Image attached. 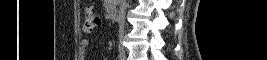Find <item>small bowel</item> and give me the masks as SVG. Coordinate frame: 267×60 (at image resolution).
I'll return each mask as SVG.
<instances>
[{"mask_svg":"<svg viewBox=\"0 0 267 60\" xmlns=\"http://www.w3.org/2000/svg\"><path fill=\"white\" fill-rule=\"evenodd\" d=\"M82 43H83L84 47L86 48L88 46V44H89V41L88 40H83Z\"/></svg>","mask_w":267,"mask_h":60,"instance_id":"small-bowel-1","label":"small bowel"}]
</instances>
